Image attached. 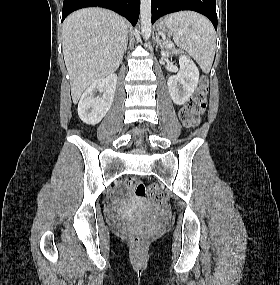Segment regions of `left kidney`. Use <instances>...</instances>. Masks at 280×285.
Listing matches in <instances>:
<instances>
[{
    "mask_svg": "<svg viewBox=\"0 0 280 285\" xmlns=\"http://www.w3.org/2000/svg\"><path fill=\"white\" fill-rule=\"evenodd\" d=\"M161 55L169 57V52L162 50ZM179 64L178 73L169 77L167 85L173 102L182 105L190 98L198 85L199 70L187 56H180Z\"/></svg>",
    "mask_w": 280,
    "mask_h": 285,
    "instance_id": "obj_1",
    "label": "left kidney"
}]
</instances>
